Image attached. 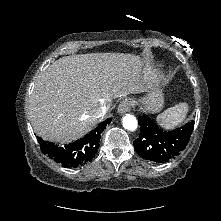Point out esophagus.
Returning <instances> with one entry per match:
<instances>
[{
	"label": "esophagus",
	"mask_w": 221,
	"mask_h": 221,
	"mask_svg": "<svg viewBox=\"0 0 221 221\" xmlns=\"http://www.w3.org/2000/svg\"><path fill=\"white\" fill-rule=\"evenodd\" d=\"M133 105H134L133 100L126 98L120 102V104L118 106V112L120 114L129 112L132 109Z\"/></svg>",
	"instance_id": "34e87169"
}]
</instances>
